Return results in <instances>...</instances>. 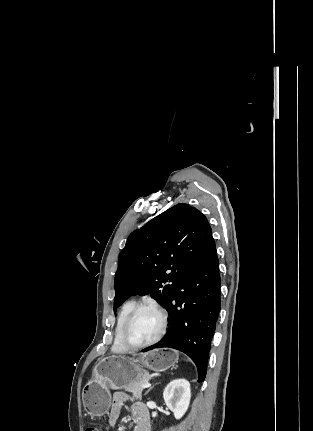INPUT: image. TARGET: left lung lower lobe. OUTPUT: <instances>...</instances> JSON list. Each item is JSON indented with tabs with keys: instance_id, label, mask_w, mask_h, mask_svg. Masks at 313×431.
Instances as JSON below:
<instances>
[{
	"instance_id": "left-lung-lower-lobe-1",
	"label": "left lung lower lobe",
	"mask_w": 313,
	"mask_h": 431,
	"mask_svg": "<svg viewBox=\"0 0 313 431\" xmlns=\"http://www.w3.org/2000/svg\"><path fill=\"white\" fill-rule=\"evenodd\" d=\"M220 281L217 251L211 234L166 308L169 315L166 335L143 352L161 347L180 350L194 361L198 382H203L221 309Z\"/></svg>"
}]
</instances>
